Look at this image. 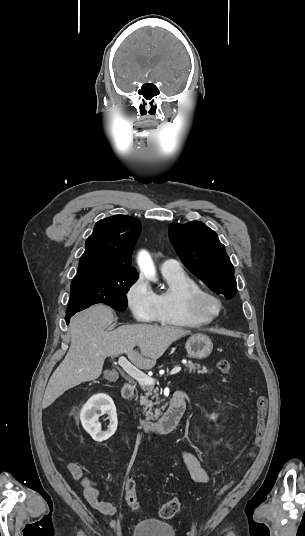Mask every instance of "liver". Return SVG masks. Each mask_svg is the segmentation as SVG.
I'll use <instances>...</instances> for the list:
<instances>
[{
  "mask_svg": "<svg viewBox=\"0 0 305 536\" xmlns=\"http://www.w3.org/2000/svg\"><path fill=\"white\" fill-rule=\"evenodd\" d=\"M114 322L109 306L96 304L70 320L71 346L62 364L52 374L43 398V408L51 406L66 390L82 382L97 380L105 358L127 354L139 370H151L167 348L190 334L177 326L133 324L105 332ZM138 346L139 352L133 348Z\"/></svg>",
  "mask_w": 305,
  "mask_h": 536,
  "instance_id": "obj_1",
  "label": "liver"
}]
</instances>
